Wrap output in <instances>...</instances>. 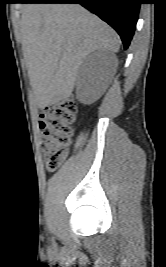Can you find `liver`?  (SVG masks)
I'll list each match as a JSON object with an SVG mask.
<instances>
[{
  "label": "liver",
  "mask_w": 166,
  "mask_h": 267,
  "mask_svg": "<svg viewBox=\"0 0 166 267\" xmlns=\"http://www.w3.org/2000/svg\"><path fill=\"white\" fill-rule=\"evenodd\" d=\"M20 38L38 108L70 97L86 56L104 49L117 53L120 38L79 4H28Z\"/></svg>",
  "instance_id": "6515ba94"
}]
</instances>
